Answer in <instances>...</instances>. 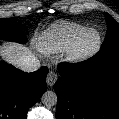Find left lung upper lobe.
Listing matches in <instances>:
<instances>
[{
    "label": "left lung upper lobe",
    "instance_id": "1",
    "mask_svg": "<svg viewBox=\"0 0 119 119\" xmlns=\"http://www.w3.org/2000/svg\"><path fill=\"white\" fill-rule=\"evenodd\" d=\"M105 18L108 30L100 52H98L103 59L119 55V24L106 12Z\"/></svg>",
    "mask_w": 119,
    "mask_h": 119
}]
</instances>
